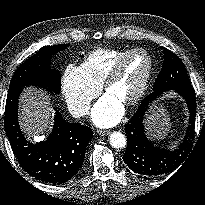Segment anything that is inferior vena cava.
Wrapping results in <instances>:
<instances>
[{"label": "inferior vena cava", "instance_id": "obj_1", "mask_svg": "<svg viewBox=\"0 0 205 205\" xmlns=\"http://www.w3.org/2000/svg\"><path fill=\"white\" fill-rule=\"evenodd\" d=\"M89 110H90L89 104L83 103V104L75 106L71 110V114H72L73 117L79 118V117L88 115L89 114Z\"/></svg>", "mask_w": 205, "mask_h": 205}]
</instances>
